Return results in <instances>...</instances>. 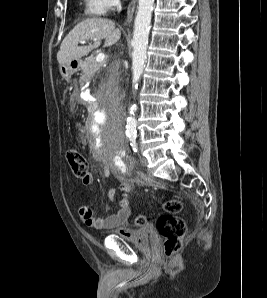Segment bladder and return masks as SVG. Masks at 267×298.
<instances>
[{
    "instance_id": "31cf9c89",
    "label": "bladder",
    "mask_w": 267,
    "mask_h": 298,
    "mask_svg": "<svg viewBox=\"0 0 267 298\" xmlns=\"http://www.w3.org/2000/svg\"><path fill=\"white\" fill-rule=\"evenodd\" d=\"M117 235L143 250H149L157 243L156 233L153 227L149 225L133 230L129 236Z\"/></svg>"
}]
</instances>
